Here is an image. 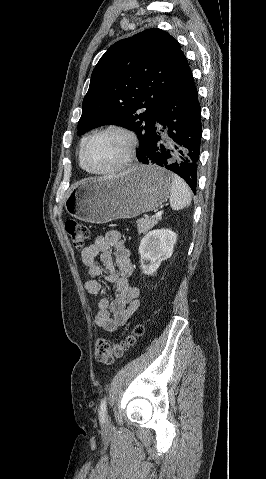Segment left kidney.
<instances>
[{
	"label": "left kidney",
	"instance_id": "obj_1",
	"mask_svg": "<svg viewBox=\"0 0 266 479\" xmlns=\"http://www.w3.org/2000/svg\"><path fill=\"white\" fill-rule=\"evenodd\" d=\"M176 239L177 234L170 229L152 230L143 237L138 252L142 261L149 262L148 265L141 264L144 274L152 275L162 261L170 258Z\"/></svg>",
	"mask_w": 266,
	"mask_h": 479
}]
</instances>
